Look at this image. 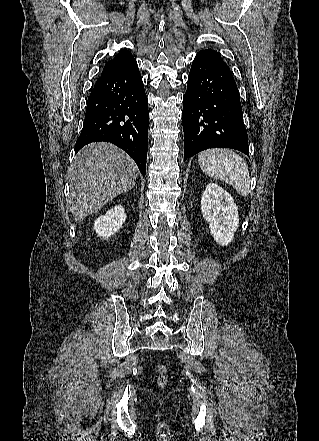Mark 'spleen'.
<instances>
[{"mask_svg": "<svg viewBox=\"0 0 319 441\" xmlns=\"http://www.w3.org/2000/svg\"><path fill=\"white\" fill-rule=\"evenodd\" d=\"M202 171L234 187L241 196L250 192V174L244 159L228 149H208L198 155Z\"/></svg>", "mask_w": 319, "mask_h": 441, "instance_id": "3e777b00", "label": "spleen"}]
</instances>
